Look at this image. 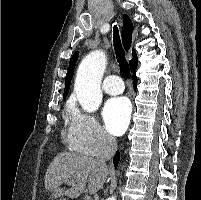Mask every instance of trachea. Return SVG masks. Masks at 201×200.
Returning a JSON list of instances; mask_svg holds the SVG:
<instances>
[{
  "label": "trachea",
  "mask_w": 201,
  "mask_h": 200,
  "mask_svg": "<svg viewBox=\"0 0 201 200\" xmlns=\"http://www.w3.org/2000/svg\"><path fill=\"white\" fill-rule=\"evenodd\" d=\"M113 43H114L115 54H116V58H117V61L119 64L120 71L124 77L129 78L130 77V69H129L128 63L125 59V51L121 44L117 25H115L114 29H113Z\"/></svg>",
  "instance_id": "3493384b"
}]
</instances>
